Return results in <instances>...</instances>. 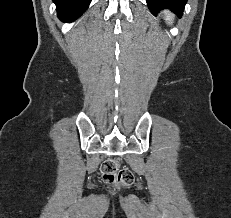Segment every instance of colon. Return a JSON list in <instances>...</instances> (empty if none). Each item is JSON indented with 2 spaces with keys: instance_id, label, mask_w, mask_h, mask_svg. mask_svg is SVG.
I'll list each match as a JSON object with an SVG mask.
<instances>
[{
  "instance_id": "obj_1",
  "label": "colon",
  "mask_w": 231,
  "mask_h": 218,
  "mask_svg": "<svg viewBox=\"0 0 231 218\" xmlns=\"http://www.w3.org/2000/svg\"><path fill=\"white\" fill-rule=\"evenodd\" d=\"M103 181L108 185L127 187L134 183L133 172L126 167L119 168L115 159H106L100 166Z\"/></svg>"
}]
</instances>
